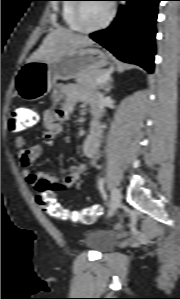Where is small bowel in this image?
I'll list each match as a JSON object with an SVG mask.
<instances>
[{"label": "small bowel", "instance_id": "small-bowel-1", "mask_svg": "<svg viewBox=\"0 0 180 299\" xmlns=\"http://www.w3.org/2000/svg\"><path fill=\"white\" fill-rule=\"evenodd\" d=\"M52 101L53 105L43 115L42 134L46 140H53L59 136L62 131V122L71 117L78 103L87 104L93 108L91 126L82 143V154L90 160V164L79 163L70 166L59 175H50L44 172L34 173L29 170V166L40 156L41 146L35 144L26 147L27 141L23 136L16 138L15 146L20 150L22 172L27 183L33 187L39 182H45L55 188H68L74 185L87 168L93 166L99 158L102 133L96 109L97 95L74 83L58 84L52 93ZM60 102L61 104L58 105Z\"/></svg>", "mask_w": 180, "mask_h": 299}]
</instances>
